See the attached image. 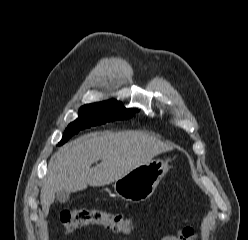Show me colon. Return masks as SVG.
<instances>
[{
    "label": "colon",
    "mask_w": 248,
    "mask_h": 240,
    "mask_svg": "<svg viewBox=\"0 0 248 240\" xmlns=\"http://www.w3.org/2000/svg\"><path fill=\"white\" fill-rule=\"evenodd\" d=\"M59 220L66 234L88 225L103 226L116 233H130L138 227V219L98 208H65Z\"/></svg>",
    "instance_id": "5ec220e1"
}]
</instances>
